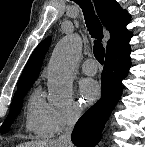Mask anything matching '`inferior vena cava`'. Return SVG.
<instances>
[{"label": "inferior vena cava", "instance_id": "1", "mask_svg": "<svg viewBox=\"0 0 145 147\" xmlns=\"http://www.w3.org/2000/svg\"><path fill=\"white\" fill-rule=\"evenodd\" d=\"M79 116H80V112L75 110L74 112H72V114L68 118L67 126L64 129V132L57 139V142L60 146L72 147L71 133H72L74 125L76 124Z\"/></svg>", "mask_w": 145, "mask_h": 147}]
</instances>
